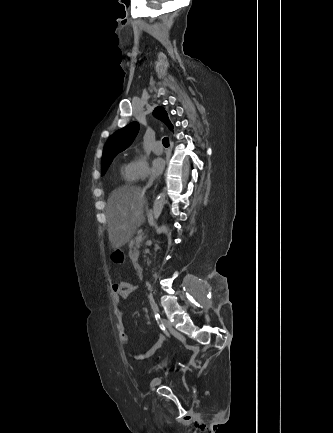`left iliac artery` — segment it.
Returning a JSON list of instances; mask_svg holds the SVG:
<instances>
[{
	"label": "left iliac artery",
	"instance_id": "1",
	"mask_svg": "<svg viewBox=\"0 0 333 433\" xmlns=\"http://www.w3.org/2000/svg\"><path fill=\"white\" fill-rule=\"evenodd\" d=\"M150 303H151V307H152V309H153V312H154L155 314L158 315V311H159V309H158L157 304H156L153 300H151Z\"/></svg>",
	"mask_w": 333,
	"mask_h": 433
}]
</instances>
